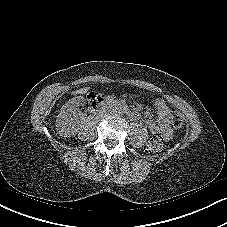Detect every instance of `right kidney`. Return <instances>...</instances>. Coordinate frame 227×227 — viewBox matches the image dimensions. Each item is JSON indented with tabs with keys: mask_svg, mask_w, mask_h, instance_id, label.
<instances>
[{
	"mask_svg": "<svg viewBox=\"0 0 227 227\" xmlns=\"http://www.w3.org/2000/svg\"><path fill=\"white\" fill-rule=\"evenodd\" d=\"M80 98H73L68 101L61 109L60 114L58 115L57 122L59 123V127L64 130L68 125L71 126V123L74 122L72 115H75V104L78 102Z\"/></svg>",
	"mask_w": 227,
	"mask_h": 227,
	"instance_id": "right-kidney-1",
	"label": "right kidney"
}]
</instances>
